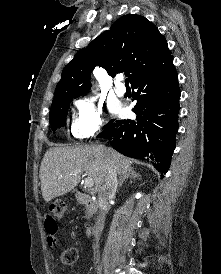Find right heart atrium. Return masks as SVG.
<instances>
[{"label":"right heart atrium","mask_w":221,"mask_h":274,"mask_svg":"<svg viewBox=\"0 0 221 274\" xmlns=\"http://www.w3.org/2000/svg\"><path fill=\"white\" fill-rule=\"evenodd\" d=\"M76 113L71 132L75 138L83 139L98 133L104 126L103 105L93 97H82L75 103Z\"/></svg>","instance_id":"right-heart-atrium-1"}]
</instances>
